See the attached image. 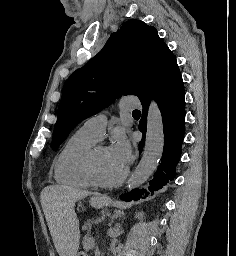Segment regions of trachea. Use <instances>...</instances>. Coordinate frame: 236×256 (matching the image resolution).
<instances>
[{"label": "trachea", "instance_id": "3493384b", "mask_svg": "<svg viewBox=\"0 0 236 256\" xmlns=\"http://www.w3.org/2000/svg\"><path fill=\"white\" fill-rule=\"evenodd\" d=\"M133 113H140V111L139 110H134V112Z\"/></svg>", "mask_w": 236, "mask_h": 256}]
</instances>
